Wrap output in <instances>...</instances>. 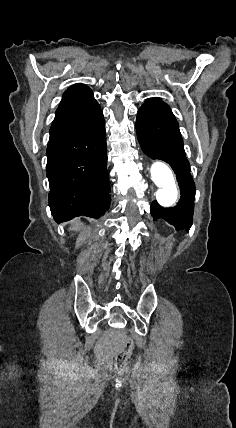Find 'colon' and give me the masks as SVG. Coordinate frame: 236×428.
<instances>
[{"label":"colon","instance_id":"5ec220e1","mask_svg":"<svg viewBox=\"0 0 236 428\" xmlns=\"http://www.w3.org/2000/svg\"><path fill=\"white\" fill-rule=\"evenodd\" d=\"M134 348V341L130 337H126L115 356V367L119 373H124L126 371L127 360L132 355Z\"/></svg>","mask_w":236,"mask_h":428}]
</instances>
